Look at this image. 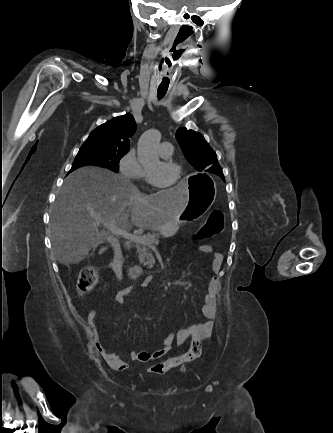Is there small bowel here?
<instances>
[{"instance_id": "c3829d8e", "label": "small bowel", "mask_w": 333, "mask_h": 433, "mask_svg": "<svg viewBox=\"0 0 333 433\" xmlns=\"http://www.w3.org/2000/svg\"><path fill=\"white\" fill-rule=\"evenodd\" d=\"M201 251L206 253H213L212 259V271L217 273L221 267L223 255L219 252H213V248L209 245H203L200 247ZM152 281L150 276L146 277L143 281V285H148ZM131 288H125L117 292L115 298L119 302H124ZM202 316L206 321L197 324H190L178 331H174L168 334V336L162 342V346L155 351H142V352H130V359L133 361H140L144 363L153 362L166 355L175 344L177 346L183 345L189 338L195 336L200 339L207 338L213 328V319L216 314V293L213 289L207 288L203 304L201 306ZM86 323L88 325L90 335L97 352L104 357V359L116 370H123L126 367V361L116 355L113 351L108 349L102 342L98 325L96 322V311L91 310L87 314ZM158 363V362H156ZM154 363V364H156ZM153 364V365H154ZM152 366V365H151Z\"/></svg>"}]
</instances>
